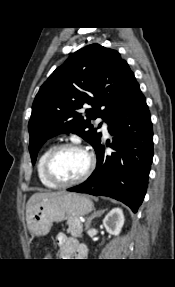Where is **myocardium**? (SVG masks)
<instances>
[{"instance_id": "1", "label": "myocardium", "mask_w": 175, "mask_h": 287, "mask_svg": "<svg viewBox=\"0 0 175 287\" xmlns=\"http://www.w3.org/2000/svg\"><path fill=\"white\" fill-rule=\"evenodd\" d=\"M67 148L78 149V150L85 152L86 155L88 156V166L86 170L84 171V173L78 178L74 180H70V181H60L54 177L52 170H51V165H52V162L55 156L60 151L67 149ZM95 165H96L95 156L89 148L76 142H65V143H61L55 146L47 155L45 163H44V175L46 179L49 182H51L53 185H55L56 187H69V186L77 185V184L84 182L92 174L95 168Z\"/></svg>"}]
</instances>
